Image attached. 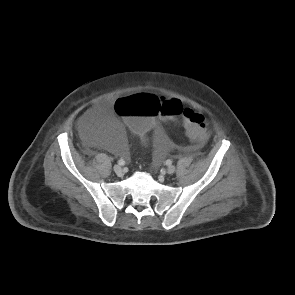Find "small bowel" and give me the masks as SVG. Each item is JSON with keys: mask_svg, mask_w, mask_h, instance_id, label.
I'll list each match as a JSON object with an SVG mask.
<instances>
[{"mask_svg": "<svg viewBox=\"0 0 295 295\" xmlns=\"http://www.w3.org/2000/svg\"><path fill=\"white\" fill-rule=\"evenodd\" d=\"M161 117H162L163 120H165L164 116H161ZM150 130L154 131L155 137H156L157 140L162 139V140L165 141L163 130H162V127L160 126L158 120L156 121V123L152 127H150Z\"/></svg>", "mask_w": 295, "mask_h": 295, "instance_id": "c3829d8e", "label": "small bowel"}]
</instances>
